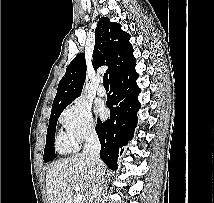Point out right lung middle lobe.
I'll return each instance as SVG.
<instances>
[{"label": "right lung middle lobe", "mask_w": 214, "mask_h": 203, "mask_svg": "<svg viewBox=\"0 0 214 203\" xmlns=\"http://www.w3.org/2000/svg\"><path fill=\"white\" fill-rule=\"evenodd\" d=\"M66 107L54 112L51 114L50 119H49V126L47 129V136H46V145H45V150H44V161L49 162L55 158V150H54V133L56 130V125L58 118L62 111Z\"/></svg>", "instance_id": "right-lung-middle-lobe-1"}]
</instances>
